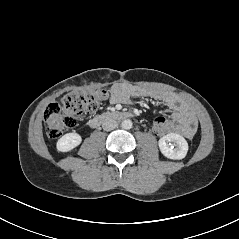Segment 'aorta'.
<instances>
[{"mask_svg": "<svg viewBox=\"0 0 239 239\" xmlns=\"http://www.w3.org/2000/svg\"><path fill=\"white\" fill-rule=\"evenodd\" d=\"M132 125H133V123L129 119H126V120L122 121V123H121L122 128L126 129V130L131 129Z\"/></svg>", "mask_w": 239, "mask_h": 239, "instance_id": "aorta-1", "label": "aorta"}]
</instances>
